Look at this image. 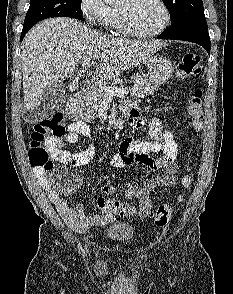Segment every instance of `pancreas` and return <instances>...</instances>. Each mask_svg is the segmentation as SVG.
<instances>
[{"label": "pancreas", "mask_w": 233, "mask_h": 294, "mask_svg": "<svg viewBox=\"0 0 233 294\" xmlns=\"http://www.w3.org/2000/svg\"><path fill=\"white\" fill-rule=\"evenodd\" d=\"M131 79L133 86L130 89V95L134 98H144L146 95L154 94V92L159 89L151 80L143 78L139 74H134ZM106 98L107 97L96 88L88 90L85 92L84 101L79 107V116L87 122H92L97 110Z\"/></svg>", "instance_id": "cf45deb5"}]
</instances>
